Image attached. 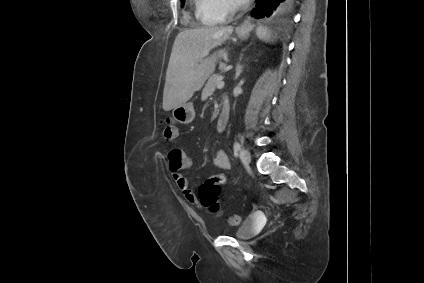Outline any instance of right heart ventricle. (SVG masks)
I'll return each instance as SVG.
<instances>
[{
	"label": "right heart ventricle",
	"instance_id": "e07e8e85",
	"mask_svg": "<svg viewBox=\"0 0 424 283\" xmlns=\"http://www.w3.org/2000/svg\"><path fill=\"white\" fill-rule=\"evenodd\" d=\"M196 16L204 25H216L223 21V18L208 8L203 0H196Z\"/></svg>",
	"mask_w": 424,
	"mask_h": 283
}]
</instances>
